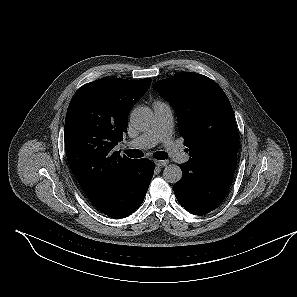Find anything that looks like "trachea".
Returning a JSON list of instances; mask_svg holds the SVG:
<instances>
[{"label":"trachea","instance_id":"3493384b","mask_svg":"<svg viewBox=\"0 0 297 297\" xmlns=\"http://www.w3.org/2000/svg\"><path fill=\"white\" fill-rule=\"evenodd\" d=\"M125 153L130 157V158H141L143 157V152L139 149H130V150H125ZM154 158L158 160H164L167 158V153L164 151H157L154 153Z\"/></svg>","mask_w":297,"mask_h":297}]
</instances>
